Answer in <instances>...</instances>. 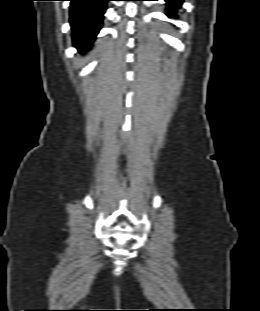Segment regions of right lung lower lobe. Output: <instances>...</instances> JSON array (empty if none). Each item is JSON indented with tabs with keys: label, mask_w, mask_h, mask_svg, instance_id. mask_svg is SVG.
Returning <instances> with one entry per match:
<instances>
[{
	"label": "right lung lower lobe",
	"mask_w": 260,
	"mask_h": 311,
	"mask_svg": "<svg viewBox=\"0 0 260 311\" xmlns=\"http://www.w3.org/2000/svg\"><path fill=\"white\" fill-rule=\"evenodd\" d=\"M73 43L79 51L88 49L98 34L109 0H70Z\"/></svg>",
	"instance_id": "obj_1"
}]
</instances>
